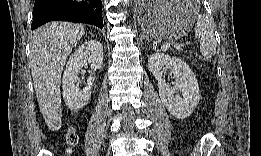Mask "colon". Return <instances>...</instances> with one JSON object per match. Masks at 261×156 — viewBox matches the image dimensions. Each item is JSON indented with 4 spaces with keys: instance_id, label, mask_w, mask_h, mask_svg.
<instances>
[{
    "instance_id": "1",
    "label": "colon",
    "mask_w": 261,
    "mask_h": 156,
    "mask_svg": "<svg viewBox=\"0 0 261 156\" xmlns=\"http://www.w3.org/2000/svg\"><path fill=\"white\" fill-rule=\"evenodd\" d=\"M77 134L75 132V130L72 128L68 134H67V137H66V142L69 146V149H68V152H70V147H72L73 145H75V143L77 142Z\"/></svg>"
}]
</instances>
